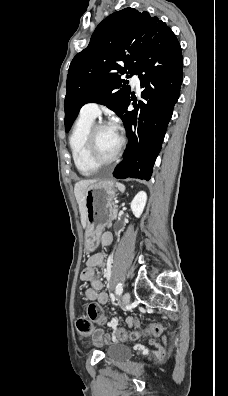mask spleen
I'll return each mask as SVG.
<instances>
[{"label": "spleen", "instance_id": "1", "mask_svg": "<svg viewBox=\"0 0 228 396\" xmlns=\"http://www.w3.org/2000/svg\"><path fill=\"white\" fill-rule=\"evenodd\" d=\"M116 186L119 188V190L124 191L125 190V186L122 183L117 182Z\"/></svg>", "mask_w": 228, "mask_h": 396}]
</instances>
